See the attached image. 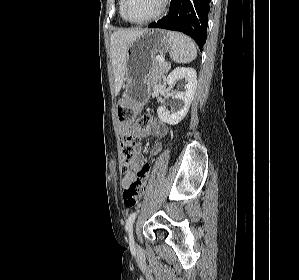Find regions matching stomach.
<instances>
[{
	"mask_svg": "<svg viewBox=\"0 0 299 280\" xmlns=\"http://www.w3.org/2000/svg\"><path fill=\"white\" fill-rule=\"evenodd\" d=\"M170 44L167 33L161 29H146L129 43L126 51L124 94L119 100L121 121L130 122L142 109L149 96V72L155 56L166 53Z\"/></svg>",
	"mask_w": 299,
	"mask_h": 280,
	"instance_id": "stomach-1",
	"label": "stomach"
}]
</instances>
